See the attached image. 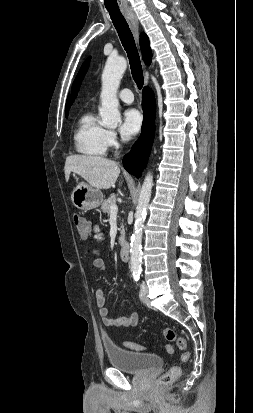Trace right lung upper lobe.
<instances>
[{
  "label": "right lung upper lobe",
  "instance_id": "obj_1",
  "mask_svg": "<svg viewBox=\"0 0 253 413\" xmlns=\"http://www.w3.org/2000/svg\"><path fill=\"white\" fill-rule=\"evenodd\" d=\"M140 46H141V51H142V56H143L144 62L146 64L150 65L151 58H152V53H151L149 39H148V37L145 33H141V35H140ZM68 101H69V97L67 99V103H66V107H65L66 116L68 115Z\"/></svg>",
  "mask_w": 253,
  "mask_h": 413
}]
</instances>
